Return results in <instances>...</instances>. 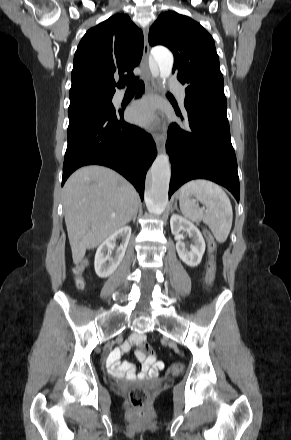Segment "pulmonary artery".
Listing matches in <instances>:
<instances>
[{
	"label": "pulmonary artery",
	"instance_id": "e3ab8cb5",
	"mask_svg": "<svg viewBox=\"0 0 291 440\" xmlns=\"http://www.w3.org/2000/svg\"><path fill=\"white\" fill-rule=\"evenodd\" d=\"M170 87L171 89L175 92V94L177 95L178 99L183 102V100L185 99V89L184 87L177 81H171L170 82ZM122 92H119L117 95V99L120 100L122 98Z\"/></svg>",
	"mask_w": 291,
	"mask_h": 440
}]
</instances>
